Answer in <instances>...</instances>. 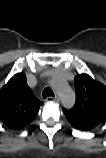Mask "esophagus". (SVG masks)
I'll return each instance as SVG.
<instances>
[{
  "label": "esophagus",
  "mask_w": 106,
  "mask_h": 158,
  "mask_svg": "<svg viewBox=\"0 0 106 158\" xmlns=\"http://www.w3.org/2000/svg\"><path fill=\"white\" fill-rule=\"evenodd\" d=\"M47 100H53V101H56V102H58L59 101V96L58 95H55V96H49V97H47Z\"/></svg>",
  "instance_id": "34e87169"
}]
</instances>
